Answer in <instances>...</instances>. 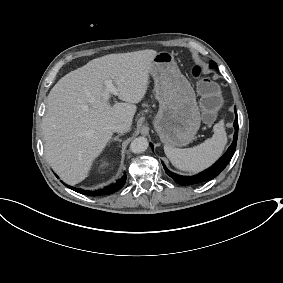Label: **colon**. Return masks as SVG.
<instances>
[{
    "label": "colon",
    "instance_id": "colon-1",
    "mask_svg": "<svg viewBox=\"0 0 283 283\" xmlns=\"http://www.w3.org/2000/svg\"><path fill=\"white\" fill-rule=\"evenodd\" d=\"M191 73L198 79V92L203 116L208 121L213 120L223 105L220 88L214 81L203 76L201 66H194Z\"/></svg>",
    "mask_w": 283,
    "mask_h": 283
}]
</instances>
